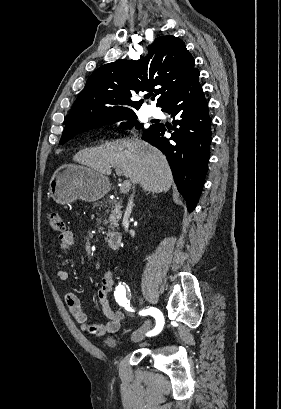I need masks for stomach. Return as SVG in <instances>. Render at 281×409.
Wrapping results in <instances>:
<instances>
[{
    "mask_svg": "<svg viewBox=\"0 0 281 409\" xmlns=\"http://www.w3.org/2000/svg\"><path fill=\"white\" fill-rule=\"evenodd\" d=\"M110 186L107 176L82 164H62L49 182L50 194L59 205H69L77 198L94 202L104 196Z\"/></svg>",
    "mask_w": 281,
    "mask_h": 409,
    "instance_id": "obj_1",
    "label": "stomach"
}]
</instances>
